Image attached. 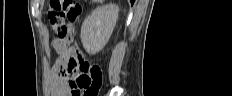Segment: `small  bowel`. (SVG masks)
<instances>
[{
  "label": "small bowel",
  "instance_id": "1",
  "mask_svg": "<svg viewBox=\"0 0 232 96\" xmlns=\"http://www.w3.org/2000/svg\"><path fill=\"white\" fill-rule=\"evenodd\" d=\"M68 28L69 32H78L79 27L78 25H69ZM68 44V41L54 42V47L60 56L57 65L51 72L49 91L52 96H71L75 92L74 79L76 74H70L66 71L68 58L65 49Z\"/></svg>",
  "mask_w": 232,
  "mask_h": 96
}]
</instances>
